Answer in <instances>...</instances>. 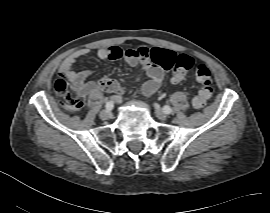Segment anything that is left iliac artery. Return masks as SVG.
Returning a JSON list of instances; mask_svg holds the SVG:
<instances>
[{"label":"left iliac artery","instance_id":"44dca946","mask_svg":"<svg viewBox=\"0 0 270 213\" xmlns=\"http://www.w3.org/2000/svg\"><path fill=\"white\" fill-rule=\"evenodd\" d=\"M163 112H164L165 114H170V113L172 112V109L170 108V106L165 105V106L163 107Z\"/></svg>","mask_w":270,"mask_h":213}]
</instances>
